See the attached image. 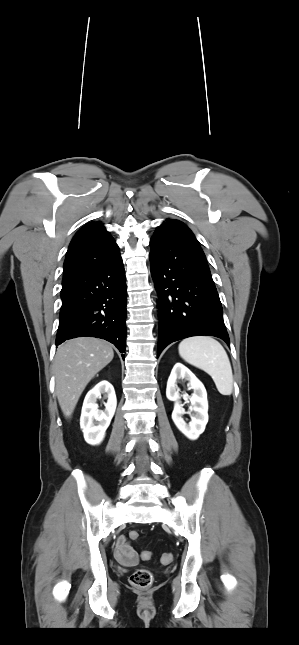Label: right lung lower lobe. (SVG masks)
I'll return each instance as SVG.
<instances>
[{"label": "right lung lower lobe", "mask_w": 299, "mask_h": 645, "mask_svg": "<svg viewBox=\"0 0 299 645\" xmlns=\"http://www.w3.org/2000/svg\"><path fill=\"white\" fill-rule=\"evenodd\" d=\"M56 345L75 337H96L126 346V281L121 255L62 285Z\"/></svg>", "instance_id": "98d812e1"}]
</instances>
